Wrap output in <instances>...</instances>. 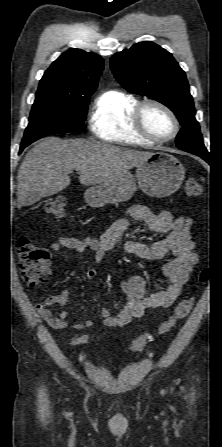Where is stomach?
Instances as JSON below:
<instances>
[{
  "label": "stomach",
  "mask_w": 222,
  "mask_h": 447,
  "mask_svg": "<svg viewBox=\"0 0 222 447\" xmlns=\"http://www.w3.org/2000/svg\"><path fill=\"white\" fill-rule=\"evenodd\" d=\"M185 177L183 165L174 156L155 152L137 165L136 178L129 172L92 186L86 190L85 201L92 207L124 202L132 198L139 187L152 197H166L176 192Z\"/></svg>",
  "instance_id": "obj_1"
}]
</instances>
